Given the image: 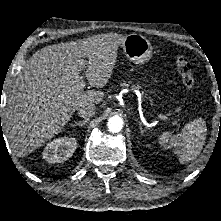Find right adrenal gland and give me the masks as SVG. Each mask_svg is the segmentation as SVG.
Listing matches in <instances>:
<instances>
[{
    "mask_svg": "<svg viewBox=\"0 0 221 221\" xmlns=\"http://www.w3.org/2000/svg\"><path fill=\"white\" fill-rule=\"evenodd\" d=\"M87 122H88L87 119H86V120H82V121L75 122V123L73 124V127H74V126L83 127V125H85Z\"/></svg>",
    "mask_w": 221,
    "mask_h": 221,
    "instance_id": "1",
    "label": "right adrenal gland"
}]
</instances>
